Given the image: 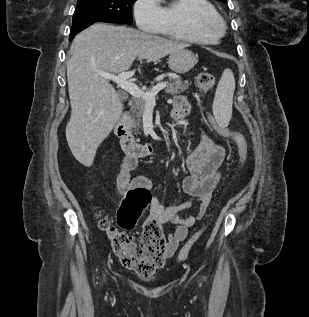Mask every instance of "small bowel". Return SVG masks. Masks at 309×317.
Here are the masks:
<instances>
[{"instance_id":"1","label":"small bowel","mask_w":309,"mask_h":317,"mask_svg":"<svg viewBox=\"0 0 309 317\" xmlns=\"http://www.w3.org/2000/svg\"><path fill=\"white\" fill-rule=\"evenodd\" d=\"M190 112V104L185 96H176L173 100L172 116L182 119ZM225 149L203 133L199 146L188 156L186 165L188 175L182 181L185 193L195 198L197 210L193 215L184 217L182 212L188 210L191 203H180L164 206L159 198L151 196L149 203L150 220L158 223H171L175 226L169 234L165 247V257H171L179 244L187 237L188 230L201 220L212 199L213 191L218 185L221 175ZM137 166V158L126 156L117 175V187L121 194L126 195L133 189H146L150 192L152 182L145 176H132Z\"/></svg>"}]
</instances>
